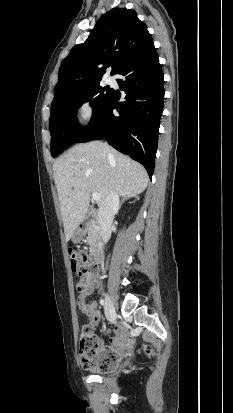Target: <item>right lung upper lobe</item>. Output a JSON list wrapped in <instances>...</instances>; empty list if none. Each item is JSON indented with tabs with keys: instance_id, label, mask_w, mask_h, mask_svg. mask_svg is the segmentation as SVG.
Here are the masks:
<instances>
[{
	"instance_id": "obj_1",
	"label": "right lung upper lobe",
	"mask_w": 233,
	"mask_h": 413,
	"mask_svg": "<svg viewBox=\"0 0 233 413\" xmlns=\"http://www.w3.org/2000/svg\"><path fill=\"white\" fill-rule=\"evenodd\" d=\"M152 37L135 11L115 8L103 15L87 40L75 46L63 60L54 102L99 83L110 67L116 74L127 60L141 53Z\"/></svg>"
}]
</instances>
